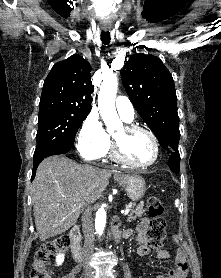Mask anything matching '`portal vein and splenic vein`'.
<instances>
[{
	"mask_svg": "<svg viewBox=\"0 0 221 278\" xmlns=\"http://www.w3.org/2000/svg\"><path fill=\"white\" fill-rule=\"evenodd\" d=\"M130 212V207H126L125 210L121 211V213H123V215H128V213Z\"/></svg>",
	"mask_w": 221,
	"mask_h": 278,
	"instance_id": "obj_1",
	"label": "portal vein and splenic vein"
}]
</instances>
